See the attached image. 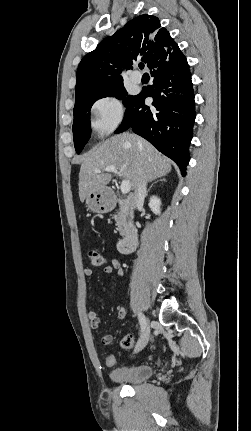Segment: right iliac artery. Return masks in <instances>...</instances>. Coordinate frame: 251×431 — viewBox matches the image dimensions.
<instances>
[{"label": "right iliac artery", "instance_id": "obj_1", "mask_svg": "<svg viewBox=\"0 0 251 431\" xmlns=\"http://www.w3.org/2000/svg\"><path fill=\"white\" fill-rule=\"evenodd\" d=\"M138 319H139V323H140V326H141V330H143L145 328V326H146V318H145V316L142 313H139L138 314Z\"/></svg>", "mask_w": 251, "mask_h": 431}]
</instances>
